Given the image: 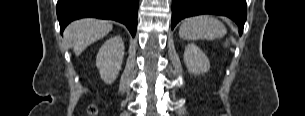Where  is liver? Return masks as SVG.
I'll return each instance as SVG.
<instances>
[{
  "label": "liver",
  "instance_id": "liver-1",
  "mask_svg": "<svg viewBox=\"0 0 305 116\" xmlns=\"http://www.w3.org/2000/svg\"><path fill=\"white\" fill-rule=\"evenodd\" d=\"M112 30V23L98 19H81L68 25L64 36L72 43L74 53L79 56L89 45L103 38Z\"/></svg>",
  "mask_w": 305,
  "mask_h": 116
}]
</instances>
